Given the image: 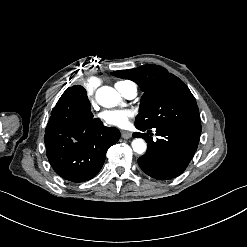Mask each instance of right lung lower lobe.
Segmentation results:
<instances>
[{
	"label": "right lung lower lobe",
	"mask_w": 247,
	"mask_h": 247,
	"mask_svg": "<svg viewBox=\"0 0 247 247\" xmlns=\"http://www.w3.org/2000/svg\"><path fill=\"white\" fill-rule=\"evenodd\" d=\"M46 155L53 170L72 182H84L101 170L106 152L120 138L115 127H105L98 118L68 98L52 110L45 130Z\"/></svg>",
	"instance_id": "obj_1"
}]
</instances>
